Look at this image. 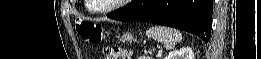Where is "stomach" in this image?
<instances>
[{
	"label": "stomach",
	"instance_id": "stomach-1",
	"mask_svg": "<svg viewBox=\"0 0 261 59\" xmlns=\"http://www.w3.org/2000/svg\"><path fill=\"white\" fill-rule=\"evenodd\" d=\"M121 40L124 41V42H132L133 36H132V34L126 32L121 36Z\"/></svg>",
	"mask_w": 261,
	"mask_h": 59
}]
</instances>
